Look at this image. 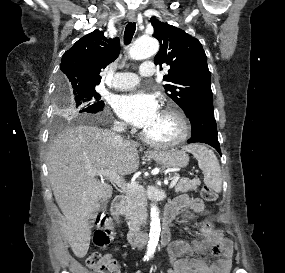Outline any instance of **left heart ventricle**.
I'll return each instance as SVG.
<instances>
[{
	"label": "left heart ventricle",
	"mask_w": 285,
	"mask_h": 273,
	"mask_svg": "<svg viewBox=\"0 0 285 273\" xmlns=\"http://www.w3.org/2000/svg\"><path fill=\"white\" fill-rule=\"evenodd\" d=\"M144 133L155 140H170L179 134V126L173 116L160 113L158 119Z\"/></svg>",
	"instance_id": "obj_1"
}]
</instances>
